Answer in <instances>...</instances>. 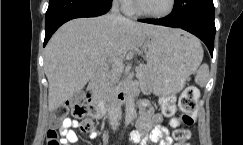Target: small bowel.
Listing matches in <instances>:
<instances>
[{
  "instance_id": "1",
  "label": "small bowel",
  "mask_w": 243,
  "mask_h": 145,
  "mask_svg": "<svg viewBox=\"0 0 243 145\" xmlns=\"http://www.w3.org/2000/svg\"><path fill=\"white\" fill-rule=\"evenodd\" d=\"M84 121L92 125L91 119ZM162 116L153 111L148 103L140 105V117L137 121L138 131L130 134V141L140 145H150V143H159V145H172V139L168 129L161 125ZM81 123L71 118H66L62 121L60 129L57 133L61 136V145H70L78 141V135L73 130L80 128ZM90 138L97 136L96 131L91 127L89 130Z\"/></svg>"
}]
</instances>
